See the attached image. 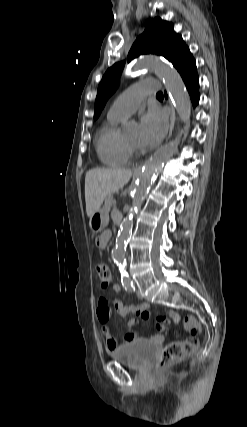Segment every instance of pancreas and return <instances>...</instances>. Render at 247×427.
Wrapping results in <instances>:
<instances>
[{"instance_id": "obj_1", "label": "pancreas", "mask_w": 247, "mask_h": 427, "mask_svg": "<svg viewBox=\"0 0 247 427\" xmlns=\"http://www.w3.org/2000/svg\"><path fill=\"white\" fill-rule=\"evenodd\" d=\"M114 200L112 198V196H107L105 199V204H104V210L106 212H109L111 210V207L114 205Z\"/></svg>"}]
</instances>
